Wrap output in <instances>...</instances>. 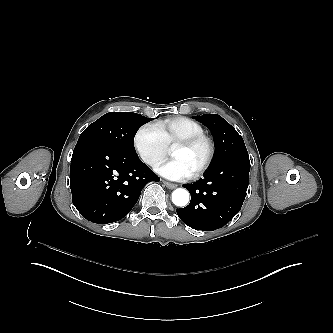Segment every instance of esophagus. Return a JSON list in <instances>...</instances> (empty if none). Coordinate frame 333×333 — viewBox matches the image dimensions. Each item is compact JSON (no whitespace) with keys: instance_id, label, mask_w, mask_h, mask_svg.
<instances>
[{"instance_id":"esophagus-1","label":"esophagus","mask_w":333,"mask_h":333,"mask_svg":"<svg viewBox=\"0 0 333 333\" xmlns=\"http://www.w3.org/2000/svg\"><path fill=\"white\" fill-rule=\"evenodd\" d=\"M163 183L166 185V187L168 189H175L178 186L177 184H174V183H171V182H168V181H165V180H163Z\"/></svg>"}]
</instances>
